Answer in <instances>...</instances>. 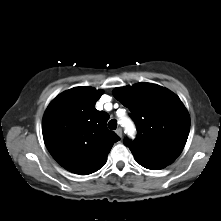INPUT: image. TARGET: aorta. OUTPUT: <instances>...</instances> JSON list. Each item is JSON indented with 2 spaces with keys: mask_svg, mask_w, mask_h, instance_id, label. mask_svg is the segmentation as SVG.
<instances>
[{
  "mask_svg": "<svg viewBox=\"0 0 221 221\" xmlns=\"http://www.w3.org/2000/svg\"><path fill=\"white\" fill-rule=\"evenodd\" d=\"M125 124L127 126V128L131 131V133H133V125L131 124V122L129 120L125 121Z\"/></svg>",
  "mask_w": 221,
  "mask_h": 221,
  "instance_id": "aorta-1",
  "label": "aorta"
}]
</instances>
